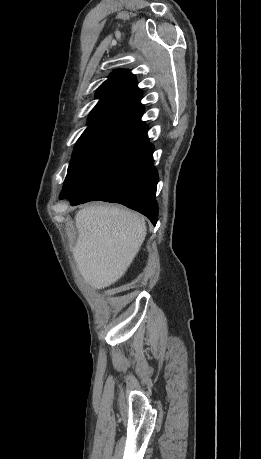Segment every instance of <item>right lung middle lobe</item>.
Masks as SVG:
<instances>
[{"instance_id":"right-lung-middle-lobe-1","label":"right lung middle lobe","mask_w":261,"mask_h":459,"mask_svg":"<svg viewBox=\"0 0 261 459\" xmlns=\"http://www.w3.org/2000/svg\"><path fill=\"white\" fill-rule=\"evenodd\" d=\"M146 139V126L109 127L81 136L74 148L60 199L82 196Z\"/></svg>"}]
</instances>
